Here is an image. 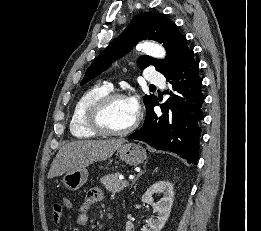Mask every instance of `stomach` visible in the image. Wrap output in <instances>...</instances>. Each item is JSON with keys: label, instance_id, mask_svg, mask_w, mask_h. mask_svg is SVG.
<instances>
[{"label": "stomach", "instance_id": "stomach-1", "mask_svg": "<svg viewBox=\"0 0 261 231\" xmlns=\"http://www.w3.org/2000/svg\"><path fill=\"white\" fill-rule=\"evenodd\" d=\"M118 154L123 162L131 166L141 164L147 157L146 151L135 143L122 144L118 148ZM88 176V170L81 168L67 172L62 182L68 190L76 191L86 183Z\"/></svg>", "mask_w": 261, "mask_h": 231}]
</instances>
